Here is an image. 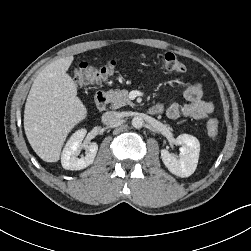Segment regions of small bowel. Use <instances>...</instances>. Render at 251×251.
<instances>
[{
	"label": "small bowel",
	"instance_id": "obj_1",
	"mask_svg": "<svg viewBox=\"0 0 251 251\" xmlns=\"http://www.w3.org/2000/svg\"><path fill=\"white\" fill-rule=\"evenodd\" d=\"M202 96V84L195 82L183 89L185 103H172L166 109L163 104L157 105L161 107V112L165 110L167 117L173 120L179 117L205 119L213 112L214 106L212 102L203 100Z\"/></svg>",
	"mask_w": 251,
	"mask_h": 251
}]
</instances>
